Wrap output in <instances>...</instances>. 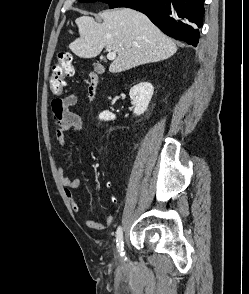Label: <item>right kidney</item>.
Segmentation results:
<instances>
[{"instance_id": "obj_1", "label": "right kidney", "mask_w": 249, "mask_h": 294, "mask_svg": "<svg viewBox=\"0 0 249 294\" xmlns=\"http://www.w3.org/2000/svg\"><path fill=\"white\" fill-rule=\"evenodd\" d=\"M153 92L154 87L149 82H141L130 89L129 95L135 106V115H141L147 110ZM115 118L116 116L107 110L99 115V119L104 121L114 120Z\"/></svg>"}]
</instances>
